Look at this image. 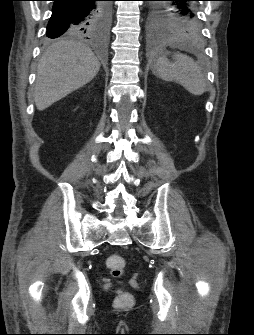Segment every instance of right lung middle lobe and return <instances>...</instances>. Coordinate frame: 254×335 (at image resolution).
Masks as SVG:
<instances>
[{"label": "right lung middle lobe", "mask_w": 254, "mask_h": 335, "mask_svg": "<svg viewBox=\"0 0 254 335\" xmlns=\"http://www.w3.org/2000/svg\"><path fill=\"white\" fill-rule=\"evenodd\" d=\"M110 14H111L110 3L109 2H103L101 4L99 17L94 22V24L90 27V33L88 35L105 32L107 30V26H108L109 21H110ZM72 34L81 35V34H85V33L78 31V32H75V33H72Z\"/></svg>", "instance_id": "dd1d6c3e"}]
</instances>
